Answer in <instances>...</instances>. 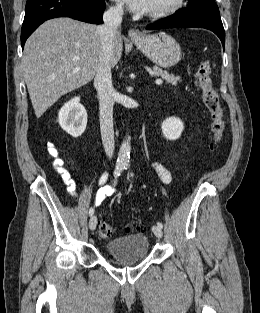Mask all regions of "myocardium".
I'll return each instance as SVG.
<instances>
[{"instance_id": "myocardium-1", "label": "myocardium", "mask_w": 260, "mask_h": 313, "mask_svg": "<svg viewBox=\"0 0 260 313\" xmlns=\"http://www.w3.org/2000/svg\"><path fill=\"white\" fill-rule=\"evenodd\" d=\"M184 5V0H172L168 6L161 10L151 11L148 17L151 19H163L177 13Z\"/></svg>"}]
</instances>
